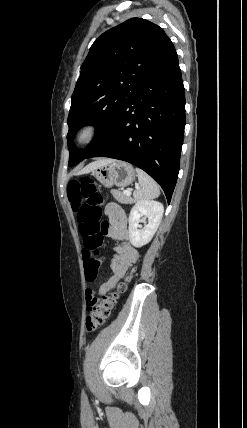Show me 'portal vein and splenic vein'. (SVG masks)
Returning <instances> with one entry per match:
<instances>
[{
    "instance_id": "18ae733b",
    "label": "portal vein and splenic vein",
    "mask_w": 247,
    "mask_h": 428,
    "mask_svg": "<svg viewBox=\"0 0 247 428\" xmlns=\"http://www.w3.org/2000/svg\"><path fill=\"white\" fill-rule=\"evenodd\" d=\"M136 188H138V187H136ZM124 194L127 195V196H130L131 195V191L130 190H124Z\"/></svg>"
}]
</instances>
